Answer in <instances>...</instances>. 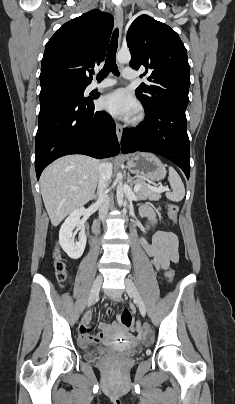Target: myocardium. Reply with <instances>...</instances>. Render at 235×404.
Returning a JSON list of instances; mask_svg holds the SVG:
<instances>
[{
    "instance_id": "obj_1",
    "label": "myocardium",
    "mask_w": 235,
    "mask_h": 404,
    "mask_svg": "<svg viewBox=\"0 0 235 404\" xmlns=\"http://www.w3.org/2000/svg\"><path fill=\"white\" fill-rule=\"evenodd\" d=\"M143 118V113H140L137 120L140 121Z\"/></svg>"
}]
</instances>
